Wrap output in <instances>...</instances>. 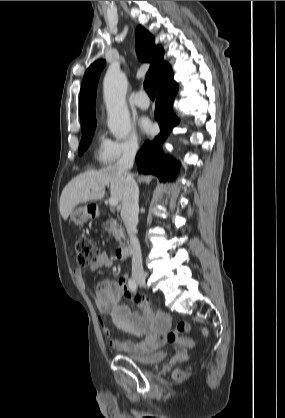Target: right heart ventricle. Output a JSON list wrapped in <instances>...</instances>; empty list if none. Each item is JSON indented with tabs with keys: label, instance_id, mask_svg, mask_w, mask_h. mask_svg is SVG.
Here are the masks:
<instances>
[{
	"label": "right heart ventricle",
	"instance_id": "e07e8e85",
	"mask_svg": "<svg viewBox=\"0 0 285 418\" xmlns=\"http://www.w3.org/2000/svg\"><path fill=\"white\" fill-rule=\"evenodd\" d=\"M106 140L103 138V136L101 134H98L96 137V143H97V148H96V158L99 160H102V156H103V150L104 147L106 145Z\"/></svg>",
	"mask_w": 285,
	"mask_h": 418
}]
</instances>
